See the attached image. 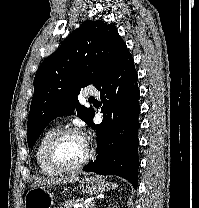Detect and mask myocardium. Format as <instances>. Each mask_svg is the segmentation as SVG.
I'll list each match as a JSON object with an SVG mask.
<instances>
[{"instance_id":"f54148a6","label":"myocardium","mask_w":199,"mask_h":208,"mask_svg":"<svg viewBox=\"0 0 199 208\" xmlns=\"http://www.w3.org/2000/svg\"><path fill=\"white\" fill-rule=\"evenodd\" d=\"M70 134H77L83 137L86 146H87V154L84 157L82 161L79 163L72 165V166H65L62 165L57 159L55 155L56 147L58 143L67 135ZM94 155V149L91 143L89 142L87 136L81 132L79 129L74 127H65L60 129L58 132L55 133V135L50 139L47 148H46V158L49 163V165L56 171L60 173H70L75 172L80 169H82L84 166H86L90 160L92 159Z\"/></svg>"}]
</instances>
